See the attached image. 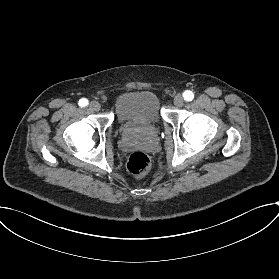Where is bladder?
Listing matches in <instances>:
<instances>
[{
  "label": "bladder",
  "mask_w": 279,
  "mask_h": 279,
  "mask_svg": "<svg viewBox=\"0 0 279 279\" xmlns=\"http://www.w3.org/2000/svg\"><path fill=\"white\" fill-rule=\"evenodd\" d=\"M114 111L119 128L127 134L145 132L163 122L158 97L150 90L122 96L116 102Z\"/></svg>",
  "instance_id": "bladder-1"
}]
</instances>
